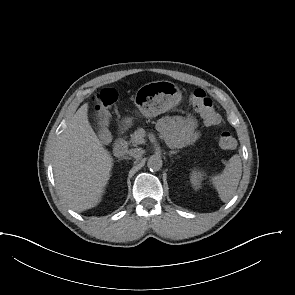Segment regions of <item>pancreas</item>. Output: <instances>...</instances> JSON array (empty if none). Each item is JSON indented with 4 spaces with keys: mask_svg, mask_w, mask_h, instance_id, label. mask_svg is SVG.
Wrapping results in <instances>:
<instances>
[{
    "mask_svg": "<svg viewBox=\"0 0 295 295\" xmlns=\"http://www.w3.org/2000/svg\"><path fill=\"white\" fill-rule=\"evenodd\" d=\"M144 136L145 132L142 129H138L133 134H131L130 143H132L133 146L143 144L145 142Z\"/></svg>",
    "mask_w": 295,
    "mask_h": 295,
    "instance_id": "pancreas-1",
    "label": "pancreas"
}]
</instances>
